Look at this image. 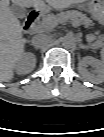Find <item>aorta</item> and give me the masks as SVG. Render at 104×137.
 I'll use <instances>...</instances> for the list:
<instances>
[{
    "label": "aorta",
    "instance_id": "aorta-1",
    "mask_svg": "<svg viewBox=\"0 0 104 137\" xmlns=\"http://www.w3.org/2000/svg\"><path fill=\"white\" fill-rule=\"evenodd\" d=\"M62 46L66 49H73L76 46V41L73 36L66 35L61 38Z\"/></svg>",
    "mask_w": 104,
    "mask_h": 137
}]
</instances>
